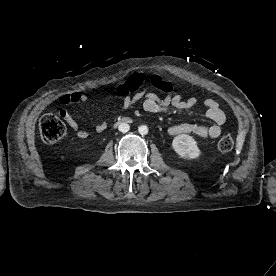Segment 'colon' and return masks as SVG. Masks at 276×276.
Returning <instances> with one entry per match:
<instances>
[{
    "instance_id": "1",
    "label": "colon",
    "mask_w": 276,
    "mask_h": 276,
    "mask_svg": "<svg viewBox=\"0 0 276 276\" xmlns=\"http://www.w3.org/2000/svg\"><path fill=\"white\" fill-rule=\"evenodd\" d=\"M145 80L146 79L143 75L133 76L126 82L121 89V92L126 93L136 90L144 84ZM149 84L166 95H179L170 84L163 82L158 77L149 78ZM40 133L45 143L52 144L59 141L65 135L66 125L58 115L54 113H46L40 120ZM233 146L234 139L229 134L222 136L218 141V149L221 152H229L233 149Z\"/></svg>"
}]
</instances>
